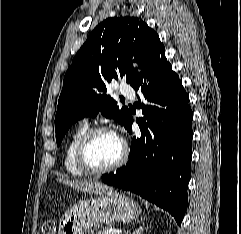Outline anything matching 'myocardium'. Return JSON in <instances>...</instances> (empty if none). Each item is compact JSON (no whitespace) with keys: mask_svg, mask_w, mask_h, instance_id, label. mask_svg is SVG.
Here are the masks:
<instances>
[{"mask_svg":"<svg viewBox=\"0 0 241 234\" xmlns=\"http://www.w3.org/2000/svg\"><path fill=\"white\" fill-rule=\"evenodd\" d=\"M100 133H112V134L116 135V133L112 129H110L106 126H97V127L89 129L82 136V138L77 146V150H76L77 164L86 174H89V175H102V174L112 172V171L120 168L122 165H124L128 159V155H129L128 146H127L126 142L120 138V140L122 142V153H121V156L119 157V159L116 162H114L113 164L106 166V167L98 168V167L92 166L89 163L88 158H87V150H88V147H89L91 141L93 140V138Z\"/></svg>","mask_w":241,"mask_h":234,"instance_id":"1","label":"myocardium"}]
</instances>
